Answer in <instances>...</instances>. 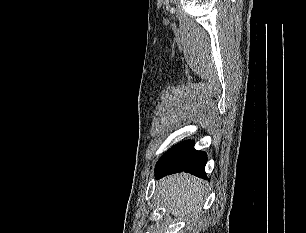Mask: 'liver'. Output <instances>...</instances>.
Returning a JSON list of instances; mask_svg holds the SVG:
<instances>
[{"label":"liver","instance_id":"6515ba94","mask_svg":"<svg viewBox=\"0 0 306 233\" xmlns=\"http://www.w3.org/2000/svg\"><path fill=\"white\" fill-rule=\"evenodd\" d=\"M157 189L168 210L181 219L194 216L203 203L202 180L189 174L167 176L159 181Z\"/></svg>","mask_w":306,"mask_h":233}]
</instances>
